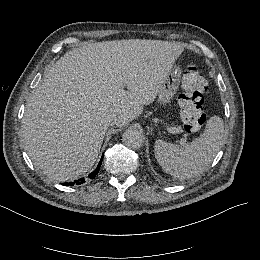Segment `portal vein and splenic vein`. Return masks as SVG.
<instances>
[{
    "label": "portal vein and splenic vein",
    "mask_w": 260,
    "mask_h": 260,
    "mask_svg": "<svg viewBox=\"0 0 260 260\" xmlns=\"http://www.w3.org/2000/svg\"><path fill=\"white\" fill-rule=\"evenodd\" d=\"M169 133H180L181 129L180 128H176V127H172L168 129ZM187 142V134H184V137H182L179 141L180 145L183 146L185 145Z\"/></svg>",
    "instance_id": "portal-vein-and-splenic-vein-1"
}]
</instances>
